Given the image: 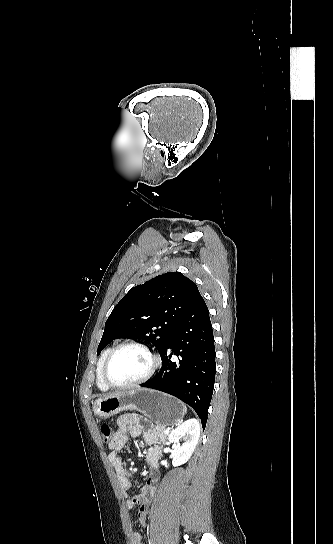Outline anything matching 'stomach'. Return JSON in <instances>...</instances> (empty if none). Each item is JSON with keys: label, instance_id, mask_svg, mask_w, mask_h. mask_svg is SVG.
<instances>
[{"label": "stomach", "instance_id": "stomach-1", "mask_svg": "<svg viewBox=\"0 0 333 544\" xmlns=\"http://www.w3.org/2000/svg\"><path fill=\"white\" fill-rule=\"evenodd\" d=\"M133 410L151 418L156 426L165 428L176 424L183 416L180 401L150 389H135L100 398L94 402L93 406L94 413L101 419Z\"/></svg>", "mask_w": 333, "mask_h": 544}]
</instances>
